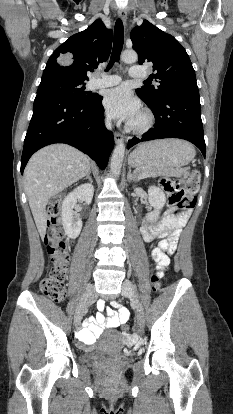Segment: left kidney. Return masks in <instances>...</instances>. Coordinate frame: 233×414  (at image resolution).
I'll return each instance as SVG.
<instances>
[{
	"label": "left kidney",
	"instance_id": "1",
	"mask_svg": "<svg viewBox=\"0 0 233 414\" xmlns=\"http://www.w3.org/2000/svg\"><path fill=\"white\" fill-rule=\"evenodd\" d=\"M148 201L154 208V211L147 213L146 219L150 222H154L159 218L160 210L166 203L165 194L160 188L151 186L148 189Z\"/></svg>",
	"mask_w": 233,
	"mask_h": 414
}]
</instances>
